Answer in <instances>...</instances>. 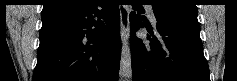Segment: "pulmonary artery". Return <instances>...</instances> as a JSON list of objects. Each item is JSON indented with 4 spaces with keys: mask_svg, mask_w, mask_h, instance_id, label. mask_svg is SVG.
<instances>
[{
    "mask_svg": "<svg viewBox=\"0 0 237 81\" xmlns=\"http://www.w3.org/2000/svg\"><path fill=\"white\" fill-rule=\"evenodd\" d=\"M147 9H148L149 16H150L151 20L155 23L156 19H155V16H154L153 12H152V7L148 6Z\"/></svg>",
    "mask_w": 237,
    "mask_h": 81,
    "instance_id": "e3ab8cb5",
    "label": "pulmonary artery"
}]
</instances>
